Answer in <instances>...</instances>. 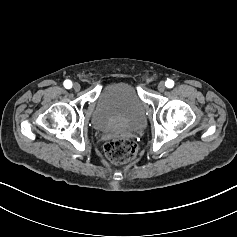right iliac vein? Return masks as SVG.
I'll return each instance as SVG.
<instances>
[{"mask_svg":"<svg viewBox=\"0 0 237 237\" xmlns=\"http://www.w3.org/2000/svg\"><path fill=\"white\" fill-rule=\"evenodd\" d=\"M73 88H74L75 91H79L81 86L78 83H74Z\"/></svg>","mask_w":237,"mask_h":237,"instance_id":"right-iliac-vein-1","label":"right iliac vein"}]
</instances>
